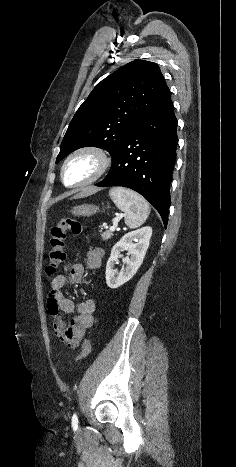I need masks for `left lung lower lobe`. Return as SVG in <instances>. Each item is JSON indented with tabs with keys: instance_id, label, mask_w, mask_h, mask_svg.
Masks as SVG:
<instances>
[{
	"instance_id": "left-lung-lower-lobe-1",
	"label": "left lung lower lobe",
	"mask_w": 236,
	"mask_h": 467,
	"mask_svg": "<svg viewBox=\"0 0 236 467\" xmlns=\"http://www.w3.org/2000/svg\"><path fill=\"white\" fill-rule=\"evenodd\" d=\"M177 144V119L169 91L130 130L112 159L108 175L95 185L135 190L159 212L166 227Z\"/></svg>"
}]
</instances>
